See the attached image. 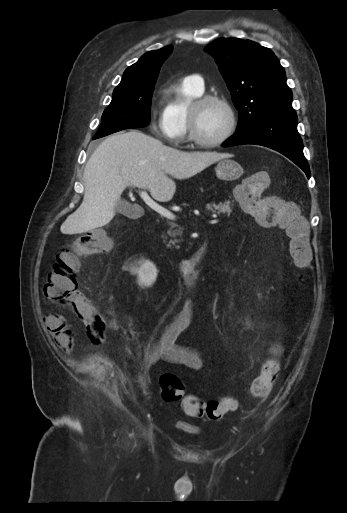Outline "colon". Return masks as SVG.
<instances>
[{
  "label": "colon",
  "mask_w": 347,
  "mask_h": 513,
  "mask_svg": "<svg viewBox=\"0 0 347 513\" xmlns=\"http://www.w3.org/2000/svg\"><path fill=\"white\" fill-rule=\"evenodd\" d=\"M268 179L264 174H252L237 185V200L241 207L255 216L257 223L263 227L276 226L285 230L290 240V253L294 264L299 269H306L312 260L307 227L292 202H284L277 197L263 198V188ZM112 246L111 238L104 231H91L78 238L69 249L62 250L56 256L49 272L44 293L46 297L62 306L75 309L80 317V324L88 328L89 338L95 345L105 342V324L97 311L94 300H85L77 287V272L82 256L108 251ZM270 359L266 360L261 373L250 385V393L256 398H266L279 374L278 358L282 350L276 344L268 346ZM162 399L167 403L181 402L183 411L190 417H206L219 420L236 408V402L230 397L218 400H203L187 395L180 377L174 373L160 376Z\"/></svg>",
  "instance_id": "5ec220e1"
}]
</instances>
